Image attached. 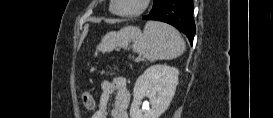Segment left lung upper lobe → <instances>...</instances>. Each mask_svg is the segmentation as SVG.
I'll return each instance as SVG.
<instances>
[{
    "instance_id": "1",
    "label": "left lung upper lobe",
    "mask_w": 273,
    "mask_h": 118,
    "mask_svg": "<svg viewBox=\"0 0 273 118\" xmlns=\"http://www.w3.org/2000/svg\"><path fill=\"white\" fill-rule=\"evenodd\" d=\"M161 1L162 0H154L153 8H152L151 11L155 10L159 6V4L161 3Z\"/></svg>"
}]
</instances>
